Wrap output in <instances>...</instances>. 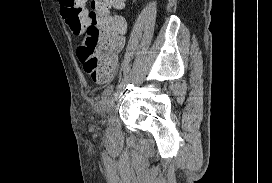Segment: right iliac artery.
I'll return each mask as SVG.
<instances>
[{
    "mask_svg": "<svg viewBox=\"0 0 272 183\" xmlns=\"http://www.w3.org/2000/svg\"><path fill=\"white\" fill-rule=\"evenodd\" d=\"M113 89H114V85L107 86L103 92V97L110 95L113 92Z\"/></svg>",
    "mask_w": 272,
    "mask_h": 183,
    "instance_id": "82829eb1",
    "label": "right iliac artery"
}]
</instances>
